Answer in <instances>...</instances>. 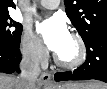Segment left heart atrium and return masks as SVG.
<instances>
[{"mask_svg": "<svg viewBox=\"0 0 107 89\" xmlns=\"http://www.w3.org/2000/svg\"><path fill=\"white\" fill-rule=\"evenodd\" d=\"M45 45L56 54L60 52L70 38L68 28L62 18L53 16L37 25Z\"/></svg>", "mask_w": 107, "mask_h": 89, "instance_id": "left-heart-atrium-1", "label": "left heart atrium"}]
</instances>
